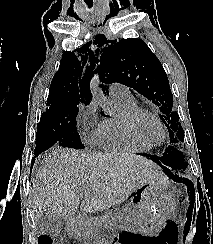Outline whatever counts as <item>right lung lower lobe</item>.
<instances>
[{"instance_id":"obj_1","label":"right lung lower lobe","mask_w":213,"mask_h":244,"mask_svg":"<svg viewBox=\"0 0 213 244\" xmlns=\"http://www.w3.org/2000/svg\"><path fill=\"white\" fill-rule=\"evenodd\" d=\"M40 153H35V157L38 156ZM35 161V158L34 160L32 161V165H33V162Z\"/></svg>"}]
</instances>
